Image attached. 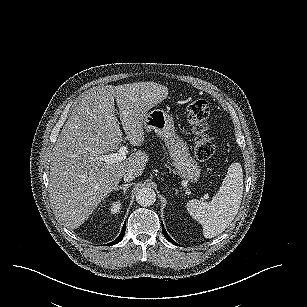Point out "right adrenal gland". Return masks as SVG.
<instances>
[{"mask_svg":"<svg viewBox=\"0 0 307 307\" xmlns=\"http://www.w3.org/2000/svg\"><path fill=\"white\" fill-rule=\"evenodd\" d=\"M133 184L129 183V184H123V185H118L115 186V191L119 190V189H123L124 193L128 190L129 187H131Z\"/></svg>","mask_w":307,"mask_h":307,"instance_id":"right-adrenal-gland-1","label":"right adrenal gland"}]
</instances>
